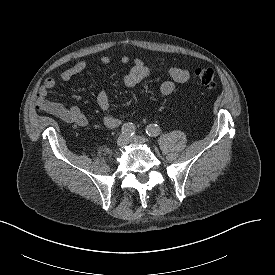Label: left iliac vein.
Returning a JSON list of instances; mask_svg holds the SVG:
<instances>
[{
    "mask_svg": "<svg viewBox=\"0 0 275 275\" xmlns=\"http://www.w3.org/2000/svg\"><path fill=\"white\" fill-rule=\"evenodd\" d=\"M130 142L134 144H145L147 142V139L142 136H133L130 138Z\"/></svg>",
    "mask_w": 275,
    "mask_h": 275,
    "instance_id": "obj_1",
    "label": "left iliac vein"
}]
</instances>
